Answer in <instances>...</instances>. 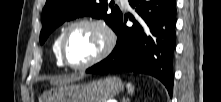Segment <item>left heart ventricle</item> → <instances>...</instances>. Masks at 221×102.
<instances>
[{
    "label": "left heart ventricle",
    "instance_id": "1",
    "mask_svg": "<svg viewBox=\"0 0 221 102\" xmlns=\"http://www.w3.org/2000/svg\"><path fill=\"white\" fill-rule=\"evenodd\" d=\"M102 44L103 39L97 29L87 25L76 26L66 39V58L73 65L83 64L100 51Z\"/></svg>",
    "mask_w": 221,
    "mask_h": 102
}]
</instances>
